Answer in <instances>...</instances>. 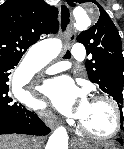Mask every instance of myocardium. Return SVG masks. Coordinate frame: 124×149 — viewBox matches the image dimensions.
Returning <instances> with one entry per match:
<instances>
[{
    "label": "myocardium",
    "instance_id": "1",
    "mask_svg": "<svg viewBox=\"0 0 124 149\" xmlns=\"http://www.w3.org/2000/svg\"><path fill=\"white\" fill-rule=\"evenodd\" d=\"M92 101H104L111 105L114 116H115V127L113 131L107 135H98L93 133L91 130H89L79 119L78 120V128L81 132H83L85 135L99 141H106L115 138L119 132L121 131L122 125H123V112L118 105V103L111 97L107 95H97L92 98Z\"/></svg>",
    "mask_w": 124,
    "mask_h": 149
}]
</instances>
